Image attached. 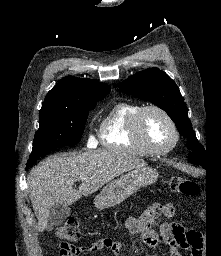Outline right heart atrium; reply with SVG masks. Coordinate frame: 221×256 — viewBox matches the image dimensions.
Returning <instances> with one entry per match:
<instances>
[{"label": "right heart atrium", "mask_w": 221, "mask_h": 256, "mask_svg": "<svg viewBox=\"0 0 221 256\" xmlns=\"http://www.w3.org/2000/svg\"><path fill=\"white\" fill-rule=\"evenodd\" d=\"M89 142H90V143L93 142V137H90Z\"/></svg>", "instance_id": "right-heart-atrium-1"}]
</instances>
